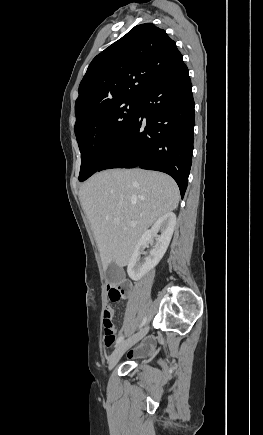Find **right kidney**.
I'll list each match as a JSON object with an SVG mask.
<instances>
[{"label": "right kidney", "mask_w": 263, "mask_h": 435, "mask_svg": "<svg viewBox=\"0 0 263 435\" xmlns=\"http://www.w3.org/2000/svg\"><path fill=\"white\" fill-rule=\"evenodd\" d=\"M175 225L176 215L173 212H168L141 236L128 263L127 272L132 280H140L160 262L169 246ZM158 232L161 234L157 235ZM153 238L156 240L154 248L150 251L149 256L141 259V255L146 254L145 248Z\"/></svg>", "instance_id": "ca27d5eb"}]
</instances>
